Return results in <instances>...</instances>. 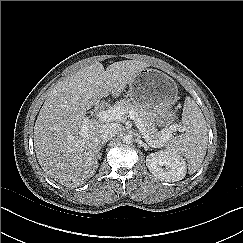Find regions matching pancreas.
Segmentation results:
<instances>
[{
    "label": "pancreas",
    "mask_w": 243,
    "mask_h": 243,
    "mask_svg": "<svg viewBox=\"0 0 243 243\" xmlns=\"http://www.w3.org/2000/svg\"><path fill=\"white\" fill-rule=\"evenodd\" d=\"M115 107L123 108L126 112L125 115L128 114L129 110L134 109L137 112L138 118L141 119L145 132L148 135V140L150 141H153L155 143H160L162 136L164 134L170 133L169 129L158 131L152 114L145 109L139 108L135 104L131 103L129 100L126 99L120 100L115 104Z\"/></svg>",
    "instance_id": "obj_1"
}]
</instances>
